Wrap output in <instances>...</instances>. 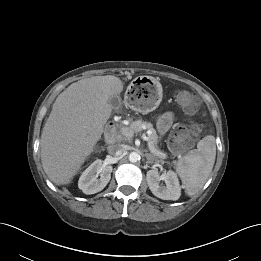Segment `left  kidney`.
<instances>
[{"instance_id": "obj_1", "label": "left kidney", "mask_w": 261, "mask_h": 261, "mask_svg": "<svg viewBox=\"0 0 261 261\" xmlns=\"http://www.w3.org/2000/svg\"><path fill=\"white\" fill-rule=\"evenodd\" d=\"M147 183L151 192L163 200H178L181 195V188L178 177L174 171L161 174L157 170H149L146 175ZM164 181L166 186L160 184Z\"/></svg>"}]
</instances>
